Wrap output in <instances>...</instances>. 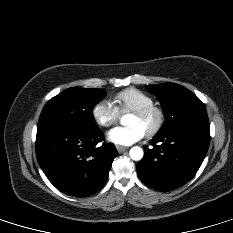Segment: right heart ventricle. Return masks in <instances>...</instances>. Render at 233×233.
I'll return each mask as SVG.
<instances>
[{"label": "right heart ventricle", "mask_w": 233, "mask_h": 233, "mask_svg": "<svg viewBox=\"0 0 233 233\" xmlns=\"http://www.w3.org/2000/svg\"><path fill=\"white\" fill-rule=\"evenodd\" d=\"M113 101L118 111H133L154 103L152 96L136 88H127L118 92Z\"/></svg>", "instance_id": "e07e8e85"}]
</instances>
